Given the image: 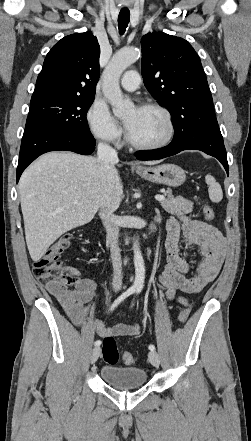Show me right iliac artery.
I'll return each mask as SVG.
<instances>
[{
    "instance_id": "right-iliac-artery-1",
    "label": "right iliac artery",
    "mask_w": 251,
    "mask_h": 441,
    "mask_svg": "<svg viewBox=\"0 0 251 441\" xmlns=\"http://www.w3.org/2000/svg\"><path fill=\"white\" fill-rule=\"evenodd\" d=\"M135 292L134 288H129L128 290H126L123 294H121L111 305L110 307V311L112 312L125 298H127L128 296H130L131 294H133ZM101 341L97 340L95 341L94 345L95 346H100Z\"/></svg>"
}]
</instances>
